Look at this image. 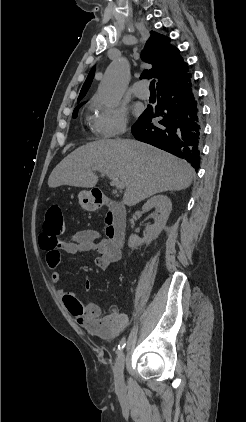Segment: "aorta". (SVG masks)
Listing matches in <instances>:
<instances>
[{
    "instance_id": "obj_1",
    "label": "aorta",
    "mask_w": 246,
    "mask_h": 422,
    "mask_svg": "<svg viewBox=\"0 0 246 422\" xmlns=\"http://www.w3.org/2000/svg\"><path fill=\"white\" fill-rule=\"evenodd\" d=\"M129 75V65L125 58L112 62L99 87L101 102L107 106L118 105L124 94Z\"/></svg>"
}]
</instances>
